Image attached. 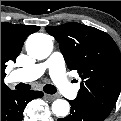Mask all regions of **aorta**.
Returning a JSON list of instances; mask_svg holds the SVG:
<instances>
[{
	"instance_id": "obj_1",
	"label": "aorta",
	"mask_w": 121,
	"mask_h": 121,
	"mask_svg": "<svg viewBox=\"0 0 121 121\" xmlns=\"http://www.w3.org/2000/svg\"><path fill=\"white\" fill-rule=\"evenodd\" d=\"M53 49V43L50 37L42 33H34L30 35L26 41V50L28 54L37 59L44 60L48 58ZM70 105L68 101L57 99L52 103V112L58 117L68 115Z\"/></svg>"
}]
</instances>
